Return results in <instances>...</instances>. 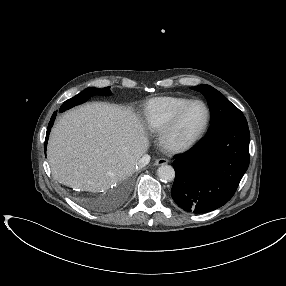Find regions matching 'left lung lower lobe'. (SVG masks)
<instances>
[{
	"label": "left lung lower lobe",
	"mask_w": 286,
	"mask_h": 286,
	"mask_svg": "<svg viewBox=\"0 0 286 286\" xmlns=\"http://www.w3.org/2000/svg\"><path fill=\"white\" fill-rule=\"evenodd\" d=\"M248 126L208 131L183 156L174 157L173 200L184 210L206 213L226 204L249 166Z\"/></svg>",
	"instance_id": "obj_1"
}]
</instances>
